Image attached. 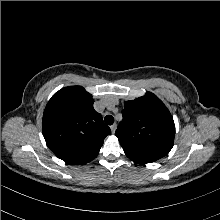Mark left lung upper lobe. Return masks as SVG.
<instances>
[{
  "mask_svg": "<svg viewBox=\"0 0 220 220\" xmlns=\"http://www.w3.org/2000/svg\"><path fill=\"white\" fill-rule=\"evenodd\" d=\"M123 120L115 135L127 157L134 162H154L173 147L175 126L173 117L163 102L151 92L126 101Z\"/></svg>",
  "mask_w": 220,
  "mask_h": 220,
  "instance_id": "left-lung-upper-lobe-1",
  "label": "left lung upper lobe"
}]
</instances>
